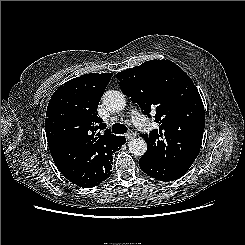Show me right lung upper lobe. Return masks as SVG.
<instances>
[{"label": "right lung upper lobe", "mask_w": 245, "mask_h": 245, "mask_svg": "<svg viewBox=\"0 0 245 245\" xmlns=\"http://www.w3.org/2000/svg\"><path fill=\"white\" fill-rule=\"evenodd\" d=\"M112 75L90 73L74 78L55 91L47 107L45 130L52 158L56 166L76 168L82 187L96 183L97 173L90 165L95 149L111 145L122 137L105 129L97 114Z\"/></svg>", "instance_id": "1"}]
</instances>
